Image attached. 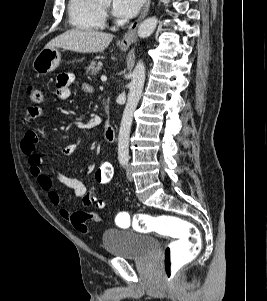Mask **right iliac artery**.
I'll use <instances>...</instances> for the list:
<instances>
[{"instance_id": "82829eb1", "label": "right iliac artery", "mask_w": 267, "mask_h": 301, "mask_svg": "<svg viewBox=\"0 0 267 301\" xmlns=\"http://www.w3.org/2000/svg\"><path fill=\"white\" fill-rule=\"evenodd\" d=\"M122 165H125V162H122Z\"/></svg>"}]
</instances>
